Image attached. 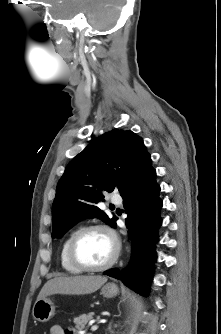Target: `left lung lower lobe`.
I'll use <instances>...</instances> for the list:
<instances>
[{
  "label": "left lung lower lobe",
  "instance_id": "1",
  "mask_svg": "<svg viewBox=\"0 0 221 334\" xmlns=\"http://www.w3.org/2000/svg\"><path fill=\"white\" fill-rule=\"evenodd\" d=\"M155 178L156 171L150 161L121 193L128 214L126 225L132 240L131 261L122 274L116 268L104 272L105 275L122 280L141 295H147L148 280L156 260L154 245L158 241L157 229L162 223L159 217L162 208V200L158 196L160 186ZM113 227H116V223Z\"/></svg>",
  "mask_w": 221,
  "mask_h": 334
}]
</instances>
